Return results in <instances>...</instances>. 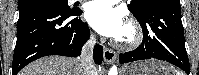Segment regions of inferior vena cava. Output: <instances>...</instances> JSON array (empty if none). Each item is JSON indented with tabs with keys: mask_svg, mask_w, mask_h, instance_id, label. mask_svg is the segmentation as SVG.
I'll list each match as a JSON object with an SVG mask.
<instances>
[{
	"mask_svg": "<svg viewBox=\"0 0 199 75\" xmlns=\"http://www.w3.org/2000/svg\"><path fill=\"white\" fill-rule=\"evenodd\" d=\"M95 37L91 36L88 42L82 47L81 56L78 58L83 65V75H96V68L92 59V50L95 44Z\"/></svg>",
	"mask_w": 199,
	"mask_h": 75,
	"instance_id": "inferior-vena-cava-1",
	"label": "inferior vena cava"
}]
</instances>
